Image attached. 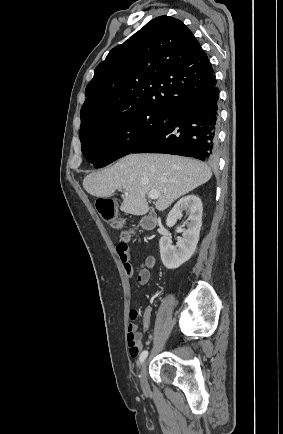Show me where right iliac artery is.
<instances>
[{"label": "right iliac artery", "mask_w": 283, "mask_h": 434, "mask_svg": "<svg viewBox=\"0 0 283 434\" xmlns=\"http://www.w3.org/2000/svg\"><path fill=\"white\" fill-rule=\"evenodd\" d=\"M147 356H148V351L147 350L142 351L139 357L140 363H143V361L146 359Z\"/></svg>", "instance_id": "82829eb1"}]
</instances>
